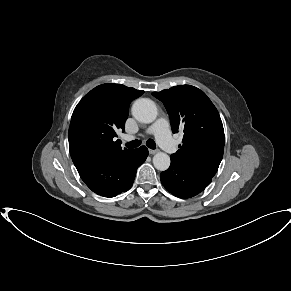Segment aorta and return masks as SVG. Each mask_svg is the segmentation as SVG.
Here are the masks:
<instances>
[{"label": "aorta", "instance_id": "1", "mask_svg": "<svg viewBox=\"0 0 291 291\" xmlns=\"http://www.w3.org/2000/svg\"><path fill=\"white\" fill-rule=\"evenodd\" d=\"M156 104L148 98L137 99L132 106V115L142 123H152L157 117ZM170 157L164 152H158L153 157V164L157 170L165 171L170 166Z\"/></svg>", "mask_w": 291, "mask_h": 291}]
</instances>
